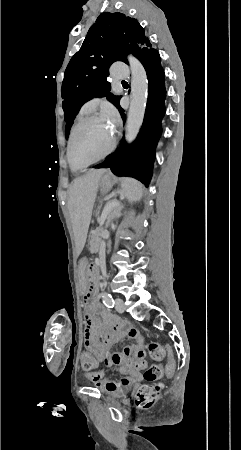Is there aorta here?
Here are the masks:
<instances>
[{
	"label": "aorta",
	"instance_id": "aorta-1",
	"mask_svg": "<svg viewBox=\"0 0 241 450\" xmlns=\"http://www.w3.org/2000/svg\"><path fill=\"white\" fill-rule=\"evenodd\" d=\"M131 69V100L126 122L127 143L137 138L143 124L147 96L148 80L143 65L133 56H128Z\"/></svg>",
	"mask_w": 241,
	"mask_h": 450
}]
</instances>
